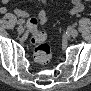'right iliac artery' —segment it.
<instances>
[{
    "label": "right iliac artery",
    "instance_id": "82829eb1",
    "mask_svg": "<svg viewBox=\"0 0 91 91\" xmlns=\"http://www.w3.org/2000/svg\"><path fill=\"white\" fill-rule=\"evenodd\" d=\"M24 23V19H19L18 21H17V24L18 25H22Z\"/></svg>",
    "mask_w": 91,
    "mask_h": 91
}]
</instances>
